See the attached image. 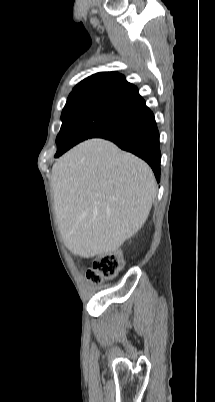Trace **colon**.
I'll use <instances>...</instances> for the list:
<instances>
[{
	"label": "colon",
	"instance_id": "5ec220e1",
	"mask_svg": "<svg viewBox=\"0 0 215 402\" xmlns=\"http://www.w3.org/2000/svg\"><path fill=\"white\" fill-rule=\"evenodd\" d=\"M122 266L123 260L118 253L96 256L91 262L88 278L94 283H101L114 278Z\"/></svg>",
	"mask_w": 215,
	"mask_h": 402
}]
</instances>
